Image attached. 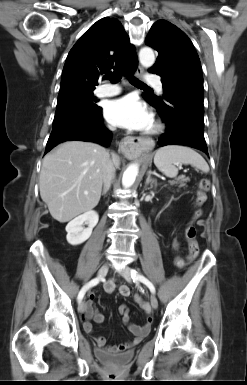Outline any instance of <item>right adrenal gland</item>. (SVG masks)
Listing matches in <instances>:
<instances>
[{
	"instance_id": "2a0ac1e0",
	"label": "right adrenal gland",
	"mask_w": 247,
	"mask_h": 385,
	"mask_svg": "<svg viewBox=\"0 0 247 385\" xmlns=\"http://www.w3.org/2000/svg\"><path fill=\"white\" fill-rule=\"evenodd\" d=\"M108 189H104L102 192V195H105L107 193Z\"/></svg>"
}]
</instances>
